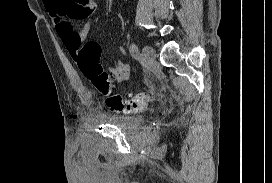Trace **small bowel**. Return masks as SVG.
I'll return each mask as SVG.
<instances>
[{
  "mask_svg": "<svg viewBox=\"0 0 272 183\" xmlns=\"http://www.w3.org/2000/svg\"><path fill=\"white\" fill-rule=\"evenodd\" d=\"M46 11L53 19L56 30L65 47L74 60H77L82 43L87 39L91 30V17L97 9L93 0H43ZM73 21H86L80 31H75ZM120 53L125 52L123 46L119 47ZM114 80H128L134 74V69L129 64L116 61L110 68Z\"/></svg>",
  "mask_w": 272,
  "mask_h": 183,
  "instance_id": "small-bowel-1",
  "label": "small bowel"
}]
</instances>
